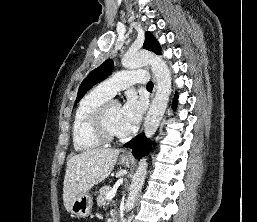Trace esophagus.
I'll list each match as a JSON object with an SVG mask.
<instances>
[{
	"instance_id": "obj_1",
	"label": "esophagus",
	"mask_w": 257,
	"mask_h": 222,
	"mask_svg": "<svg viewBox=\"0 0 257 222\" xmlns=\"http://www.w3.org/2000/svg\"><path fill=\"white\" fill-rule=\"evenodd\" d=\"M154 82H155V85H154V91H155V89H156V80H155V78H154ZM126 156H129V154H126Z\"/></svg>"
}]
</instances>
